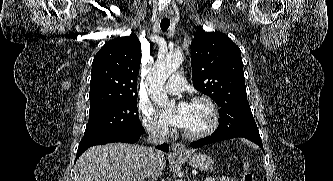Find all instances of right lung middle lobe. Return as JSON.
Here are the masks:
<instances>
[{
    "label": "right lung middle lobe",
    "instance_id": "1",
    "mask_svg": "<svg viewBox=\"0 0 333 181\" xmlns=\"http://www.w3.org/2000/svg\"><path fill=\"white\" fill-rule=\"evenodd\" d=\"M137 98L91 107L89 121L80 143L144 131L137 113Z\"/></svg>",
    "mask_w": 333,
    "mask_h": 181
}]
</instances>
